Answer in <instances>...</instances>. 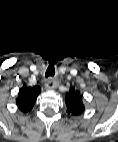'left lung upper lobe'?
<instances>
[{
    "instance_id": "5c2ea615",
    "label": "left lung upper lobe",
    "mask_w": 118,
    "mask_h": 142,
    "mask_svg": "<svg viewBox=\"0 0 118 142\" xmlns=\"http://www.w3.org/2000/svg\"><path fill=\"white\" fill-rule=\"evenodd\" d=\"M67 112L72 115H79L84 111L82 95L78 90L71 87L69 93L66 94Z\"/></svg>"
}]
</instances>
